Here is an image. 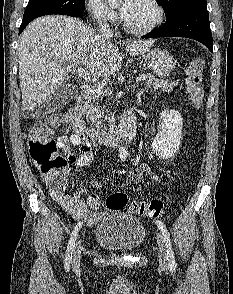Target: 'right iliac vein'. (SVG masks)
Masks as SVG:
<instances>
[{
  "mask_svg": "<svg viewBox=\"0 0 233 294\" xmlns=\"http://www.w3.org/2000/svg\"><path fill=\"white\" fill-rule=\"evenodd\" d=\"M81 240L77 241L72 255V266L74 269L78 268L80 265V259H81Z\"/></svg>",
  "mask_w": 233,
  "mask_h": 294,
  "instance_id": "obj_1",
  "label": "right iliac vein"
}]
</instances>
